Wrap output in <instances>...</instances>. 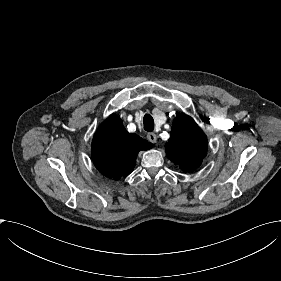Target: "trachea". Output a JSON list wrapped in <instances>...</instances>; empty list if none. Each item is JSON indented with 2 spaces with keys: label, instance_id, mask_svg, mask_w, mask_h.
Listing matches in <instances>:
<instances>
[{
  "label": "trachea",
  "instance_id": "trachea-1",
  "mask_svg": "<svg viewBox=\"0 0 281 281\" xmlns=\"http://www.w3.org/2000/svg\"><path fill=\"white\" fill-rule=\"evenodd\" d=\"M144 129L148 132H152L154 130V120L149 114L144 116Z\"/></svg>",
  "mask_w": 281,
  "mask_h": 281
}]
</instances>
